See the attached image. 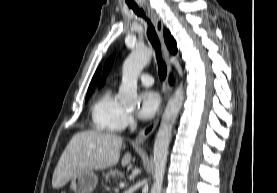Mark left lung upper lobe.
<instances>
[{
	"instance_id": "obj_1",
	"label": "left lung upper lobe",
	"mask_w": 277,
	"mask_h": 193,
	"mask_svg": "<svg viewBox=\"0 0 277 193\" xmlns=\"http://www.w3.org/2000/svg\"><path fill=\"white\" fill-rule=\"evenodd\" d=\"M113 60H114V56H112L111 58L108 59L106 65H105L104 74H103L102 80L99 84V87L102 86L105 83V77H106L107 73L109 72V70L112 66Z\"/></svg>"
}]
</instances>
